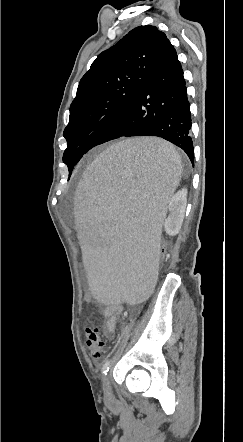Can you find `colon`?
<instances>
[{
    "mask_svg": "<svg viewBox=\"0 0 243 442\" xmlns=\"http://www.w3.org/2000/svg\"><path fill=\"white\" fill-rule=\"evenodd\" d=\"M168 239L167 233H162L160 241L165 243ZM170 248L167 245L162 246L161 251H159L158 256L161 259L166 258L167 253H169ZM85 344L90 352L93 359H101L108 351L105 342L102 339L100 329L97 325L91 324L85 329Z\"/></svg>",
    "mask_w": 243,
    "mask_h": 442,
    "instance_id": "obj_1",
    "label": "colon"
}]
</instances>
